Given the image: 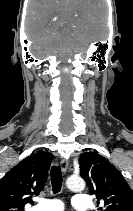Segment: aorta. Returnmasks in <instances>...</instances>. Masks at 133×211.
<instances>
[{
	"instance_id": "1",
	"label": "aorta",
	"mask_w": 133,
	"mask_h": 211,
	"mask_svg": "<svg viewBox=\"0 0 133 211\" xmlns=\"http://www.w3.org/2000/svg\"><path fill=\"white\" fill-rule=\"evenodd\" d=\"M66 185L70 190L80 192L85 188V181L79 176H70L66 180Z\"/></svg>"
}]
</instances>
